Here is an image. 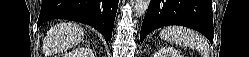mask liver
<instances>
[{"mask_svg": "<svg viewBox=\"0 0 249 57\" xmlns=\"http://www.w3.org/2000/svg\"><path fill=\"white\" fill-rule=\"evenodd\" d=\"M83 37L84 31L80 25L76 23H59L47 33L43 41V51L45 55L63 52L78 45Z\"/></svg>", "mask_w": 249, "mask_h": 57, "instance_id": "6515ba94", "label": "liver"}]
</instances>
